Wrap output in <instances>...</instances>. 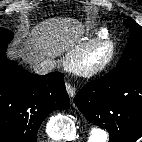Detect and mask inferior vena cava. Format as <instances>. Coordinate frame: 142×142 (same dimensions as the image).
I'll return each mask as SVG.
<instances>
[{"label": "inferior vena cava", "instance_id": "1", "mask_svg": "<svg viewBox=\"0 0 142 142\" xmlns=\"http://www.w3.org/2000/svg\"><path fill=\"white\" fill-rule=\"evenodd\" d=\"M55 61L52 59L43 60L33 66L34 72L39 75H45L53 71L55 68Z\"/></svg>", "mask_w": 142, "mask_h": 142}]
</instances>
